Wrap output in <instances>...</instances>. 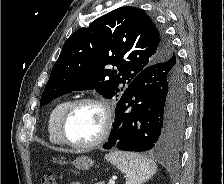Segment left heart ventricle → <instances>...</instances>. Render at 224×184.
Wrapping results in <instances>:
<instances>
[{
  "label": "left heart ventricle",
  "mask_w": 224,
  "mask_h": 184,
  "mask_svg": "<svg viewBox=\"0 0 224 184\" xmlns=\"http://www.w3.org/2000/svg\"><path fill=\"white\" fill-rule=\"evenodd\" d=\"M103 123L101 109L93 104L79 105L71 114L66 125L69 139L84 144L95 140Z\"/></svg>",
  "instance_id": "1"
}]
</instances>
